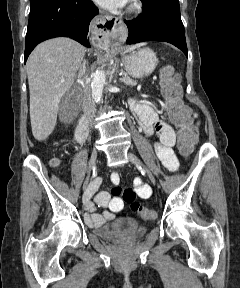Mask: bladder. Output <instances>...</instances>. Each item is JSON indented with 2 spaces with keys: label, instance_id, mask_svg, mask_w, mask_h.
<instances>
[{
  "label": "bladder",
  "instance_id": "bladder-1",
  "mask_svg": "<svg viewBox=\"0 0 240 288\" xmlns=\"http://www.w3.org/2000/svg\"><path fill=\"white\" fill-rule=\"evenodd\" d=\"M147 231V228L143 225L135 226L131 232V238H139L143 236ZM96 234L105 238V239H114L115 238V231L110 226H105L97 229Z\"/></svg>",
  "mask_w": 240,
  "mask_h": 288
}]
</instances>
